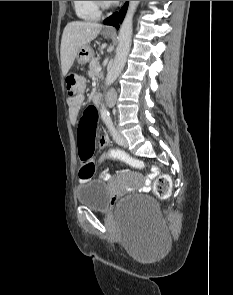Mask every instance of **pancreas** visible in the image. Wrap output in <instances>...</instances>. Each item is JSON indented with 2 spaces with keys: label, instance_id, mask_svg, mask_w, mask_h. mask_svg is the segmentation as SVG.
Returning <instances> with one entry per match:
<instances>
[{
  "label": "pancreas",
  "instance_id": "1",
  "mask_svg": "<svg viewBox=\"0 0 233 295\" xmlns=\"http://www.w3.org/2000/svg\"><path fill=\"white\" fill-rule=\"evenodd\" d=\"M98 67H99V58H92L89 64V72H88V75L91 78H95V76H98V72L96 71Z\"/></svg>",
  "mask_w": 233,
  "mask_h": 295
}]
</instances>
